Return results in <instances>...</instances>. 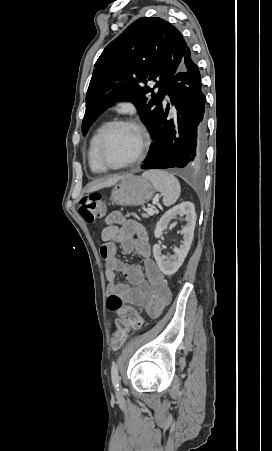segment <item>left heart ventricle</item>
Segmentation results:
<instances>
[{"instance_id":"left-heart-ventricle-1","label":"left heart ventricle","mask_w":272,"mask_h":451,"mask_svg":"<svg viewBox=\"0 0 272 451\" xmlns=\"http://www.w3.org/2000/svg\"><path fill=\"white\" fill-rule=\"evenodd\" d=\"M133 148L131 131L123 127H115L107 134L103 148V163L108 168H118L129 159Z\"/></svg>"}]
</instances>
